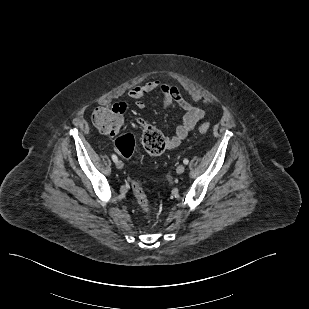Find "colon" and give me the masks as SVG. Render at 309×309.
<instances>
[{
    "label": "colon",
    "instance_id": "5ec220e1",
    "mask_svg": "<svg viewBox=\"0 0 309 309\" xmlns=\"http://www.w3.org/2000/svg\"><path fill=\"white\" fill-rule=\"evenodd\" d=\"M125 107L115 105L112 107H98L92 112V121L97 129L106 135H117L115 147L118 153L130 158L135 149V140L132 134L123 132ZM209 130L208 124L199 126V132L206 133ZM142 143L144 149L152 155L161 154L166 148V139L163 133L153 125L143 128ZM132 191L140 209L149 213V202L146 194L137 180L132 181Z\"/></svg>",
    "mask_w": 309,
    "mask_h": 309
}]
</instances>
